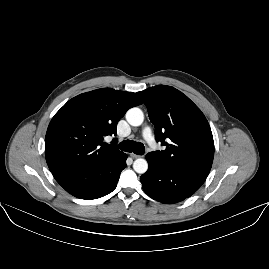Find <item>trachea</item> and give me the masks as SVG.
I'll return each instance as SVG.
<instances>
[{
	"instance_id": "1",
	"label": "trachea",
	"mask_w": 269,
	"mask_h": 269,
	"mask_svg": "<svg viewBox=\"0 0 269 269\" xmlns=\"http://www.w3.org/2000/svg\"><path fill=\"white\" fill-rule=\"evenodd\" d=\"M118 147L125 152H133L137 155H143L145 153V147L143 143L135 142L132 140L122 141Z\"/></svg>"
}]
</instances>
